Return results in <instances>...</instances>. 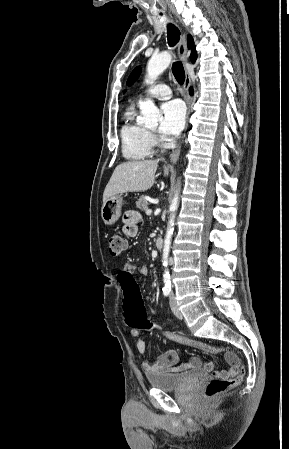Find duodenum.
<instances>
[{
	"label": "duodenum",
	"instance_id": "410a0bca",
	"mask_svg": "<svg viewBox=\"0 0 289 449\" xmlns=\"http://www.w3.org/2000/svg\"><path fill=\"white\" fill-rule=\"evenodd\" d=\"M155 245L157 247L158 250H162L164 247V241L161 237H156L155 239Z\"/></svg>",
	"mask_w": 289,
	"mask_h": 449
}]
</instances>
